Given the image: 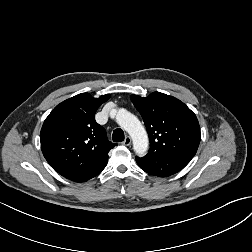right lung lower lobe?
Wrapping results in <instances>:
<instances>
[{
	"label": "right lung lower lobe",
	"mask_w": 252,
	"mask_h": 252,
	"mask_svg": "<svg viewBox=\"0 0 252 252\" xmlns=\"http://www.w3.org/2000/svg\"><path fill=\"white\" fill-rule=\"evenodd\" d=\"M105 167H100L97 168L95 170L86 172L84 174H81L79 176H76L74 178H71L70 180L75 181V182H85L93 177H95L96 175H98Z\"/></svg>",
	"instance_id": "1"
}]
</instances>
